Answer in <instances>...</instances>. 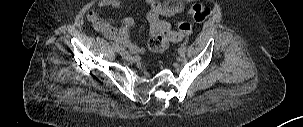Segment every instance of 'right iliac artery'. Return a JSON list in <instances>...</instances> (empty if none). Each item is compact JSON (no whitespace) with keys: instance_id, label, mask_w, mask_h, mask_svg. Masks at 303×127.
Instances as JSON below:
<instances>
[{"instance_id":"82829eb1","label":"right iliac artery","mask_w":303,"mask_h":127,"mask_svg":"<svg viewBox=\"0 0 303 127\" xmlns=\"http://www.w3.org/2000/svg\"><path fill=\"white\" fill-rule=\"evenodd\" d=\"M112 48L114 49V51L119 52L120 50L124 49L122 47H119L117 44L112 43Z\"/></svg>"}]
</instances>
